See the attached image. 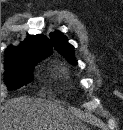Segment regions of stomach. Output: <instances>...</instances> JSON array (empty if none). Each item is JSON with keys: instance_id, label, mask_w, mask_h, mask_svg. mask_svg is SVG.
Here are the masks:
<instances>
[{"instance_id": "obj_1", "label": "stomach", "mask_w": 123, "mask_h": 130, "mask_svg": "<svg viewBox=\"0 0 123 130\" xmlns=\"http://www.w3.org/2000/svg\"><path fill=\"white\" fill-rule=\"evenodd\" d=\"M72 130H84V129H80V128H73Z\"/></svg>"}]
</instances>
